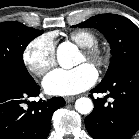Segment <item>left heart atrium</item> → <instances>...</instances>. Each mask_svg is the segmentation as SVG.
I'll use <instances>...</instances> for the list:
<instances>
[{
	"label": "left heart atrium",
	"instance_id": "left-heart-atrium-1",
	"mask_svg": "<svg viewBox=\"0 0 139 139\" xmlns=\"http://www.w3.org/2000/svg\"><path fill=\"white\" fill-rule=\"evenodd\" d=\"M97 71L89 63H83L73 69H55L43 80L48 94L69 96L85 91L97 80Z\"/></svg>",
	"mask_w": 139,
	"mask_h": 139
}]
</instances>
